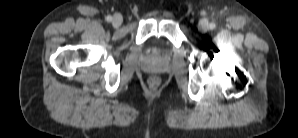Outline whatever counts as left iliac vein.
<instances>
[{
	"label": "left iliac vein",
	"instance_id": "left-iliac-vein-1",
	"mask_svg": "<svg viewBox=\"0 0 298 138\" xmlns=\"http://www.w3.org/2000/svg\"><path fill=\"white\" fill-rule=\"evenodd\" d=\"M198 29L200 30V32L205 33L208 30V22L206 19H202L200 20L199 24H198Z\"/></svg>",
	"mask_w": 298,
	"mask_h": 138
}]
</instances>
